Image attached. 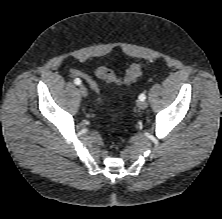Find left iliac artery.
Listing matches in <instances>:
<instances>
[{
	"label": "left iliac artery",
	"instance_id": "44dca946",
	"mask_svg": "<svg viewBox=\"0 0 222 219\" xmlns=\"http://www.w3.org/2000/svg\"><path fill=\"white\" fill-rule=\"evenodd\" d=\"M139 99H140V100H145V99H146L145 94H140Z\"/></svg>",
	"mask_w": 222,
	"mask_h": 219
}]
</instances>
